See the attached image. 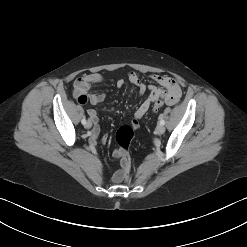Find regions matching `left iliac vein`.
I'll list each match as a JSON object with an SVG mask.
<instances>
[{"mask_svg": "<svg viewBox=\"0 0 247 247\" xmlns=\"http://www.w3.org/2000/svg\"><path fill=\"white\" fill-rule=\"evenodd\" d=\"M165 132V127L162 124H159L156 128V133L158 135H162Z\"/></svg>", "mask_w": 247, "mask_h": 247, "instance_id": "left-iliac-vein-1", "label": "left iliac vein"}]
</instances>
